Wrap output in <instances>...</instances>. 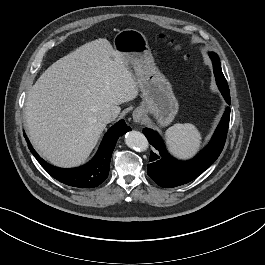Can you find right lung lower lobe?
Returning <instances> with one entry per match:
<instances>
[{"mask_svg": "<svg viewBox=\"0 0 265 265\" xmlns=\"http://www.w3.org/2000/svg\"><path fill=\"white\" fill-rule=\"evenodd\" d=\"M131 130L124 120H120L105 134L104 139L94 158L86 165L78 168L62 169L45 162L26 137L28 147L41 166L56 180L73 187H96L100 185L109 174L110 160L118 138Z\"/></svg>", "mask_w": 265, "mask_h": 265, "instance_id": "98d812e1", "label": "right lung lower lobe"}]
</instances>
